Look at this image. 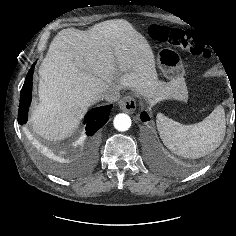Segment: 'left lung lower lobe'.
<instances>
[{
  "mask_svg": "<svg viewBox=\"0 0 236 236\" xmlns=\"http://www.w3.org/2000/svg\"><path fill=\"white\" fill-rule=\"evenodd\" d=\"M140 117L143 122H146L149 120V116L145 112H142Z\"/></svg>",
  "mask_w": 236,
  "mask_h": 236,
  "instance_id": "0a47b994",
  "label": "left lung lower lobe"
}]
</instances>
